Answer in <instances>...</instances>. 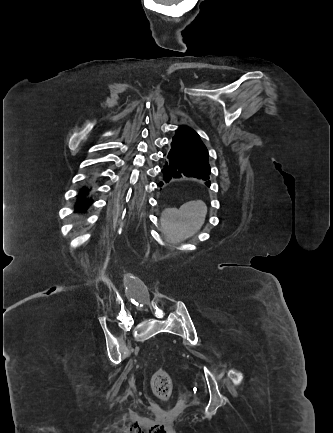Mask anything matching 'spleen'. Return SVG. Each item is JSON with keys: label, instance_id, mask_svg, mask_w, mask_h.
Returning <instances> with one entry per match:
<instances>
[{"label": "spleen", "instance_id": "spleen-1", "mask_svg": "<svg viewBox=\"0 0 333 433\" xmlns=\"http://www.w3.org/2000/svg\"><path fill=\"white\" fill-rule=\"evenodd\" d=\"M206 215L207 206L202 201L169 206L161 217L162 233L168 242H182L201 229Z\"/></svg>", "mask_w": 333, "mask_h": 433}]
</instances>
